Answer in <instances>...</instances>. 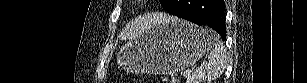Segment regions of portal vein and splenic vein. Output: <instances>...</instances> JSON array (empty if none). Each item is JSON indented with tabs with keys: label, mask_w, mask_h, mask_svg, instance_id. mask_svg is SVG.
Wrapping results in <instances>:
<instances>
[{
	"label": "portal vein and splenic vein",
	"mask_w": 307,
	"mask_h": 83,
	"mask_svg": "<svg viewBox=\"0 0 307 83\" xmlns=\"http://www.w3.org/2000/svg\"><path fill=\"white\" fill-rule=\"evenodd\" d=\"M188 74H189V72H185V73H183V76L187 77Z\"/></svg>",
	"instance_id": "portal-vein-and-splenic-vein-1"
}]
</instances>
